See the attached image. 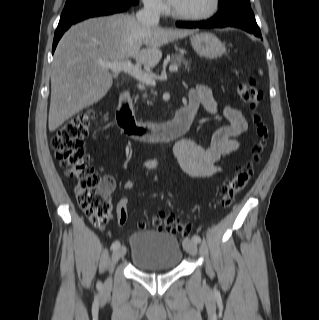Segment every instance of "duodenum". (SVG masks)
Instances as JSON below:
<instances>
[{"mask_svg": "<svg viewBox=\"0 0 319 320\" xmlns=\"http://www.w3.org/2000/svg\"><path fill=\"white\" fill-rule=\"evenodd\" d=\"M194 112L188 107L180 108L167 123H140L132 113L129 95L123 93L119 100L117 123L121 130L132 139L144 142L170 141L184 134L190 127Z\"/></svg>", "mask_w": 319, "mask_h": 320, "instance_id": "1", "label": "duodenum"}]
</instances>
